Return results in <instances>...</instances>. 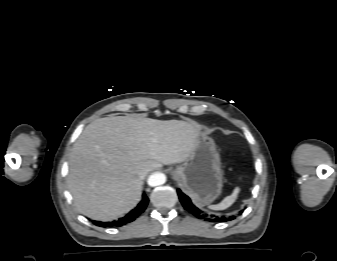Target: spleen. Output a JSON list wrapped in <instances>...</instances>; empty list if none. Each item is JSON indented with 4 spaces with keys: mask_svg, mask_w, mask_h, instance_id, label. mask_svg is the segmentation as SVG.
I'll use <instances>...</instances> for the list:
<instances>
[{
    "mask_svg": "<svg viewBox=\"0 0 337 261\" xmlns=\"http://www.w3.org/2000/svg\"><path fill=\"white\" fill-rule=\"evenodd\" d=\"M240 189L236 187L230 196L225 197L219 204L210 205L209 208L212 210H224L230 207L236 200Z\"/></svg>",
    "mask_w": 337,
    "mask_h": 261,
    "instance_id": "1",
    "label": "spleen"
}]
</instances>
